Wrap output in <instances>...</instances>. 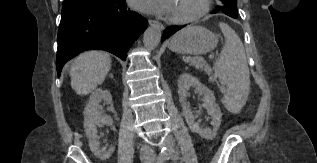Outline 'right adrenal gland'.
Returning a JSON list of instances; mask_svg holds the SVG:
<instances>
[{
    "label": "right adrenal gland",
    "instance_id": "1",
    "mask_svg": "<svg viewBox=\"0 0 317 163\" xmlns=\"http://www.w3.org/2000/svg\"><path fill=\"white\" fill-rule=\"evenodd\" d=\"M109 76H110L111 78H113V74H112V73H110Z\"/></svg>",
    "mask_w": 317,
    "mask_h": 163
}]
</instances>
